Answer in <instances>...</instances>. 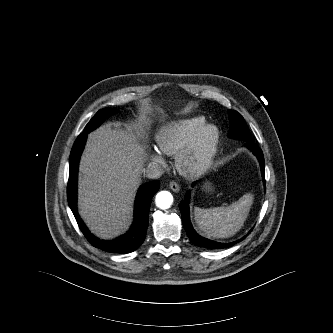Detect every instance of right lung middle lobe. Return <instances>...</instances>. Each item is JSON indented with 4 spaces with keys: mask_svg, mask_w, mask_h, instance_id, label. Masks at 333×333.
I'll return each mask as SVG.
<instances>
[{
    "mask_svg": "<svg viewBox=\"0 0 333 333\" xmlns=\"http://www.w3.org/2000/svg\"><path fill=\"white\" fill-rule=\"evenodd\" d=\"M116 112V109L113 108H104L98 111L95 116L90 120V122L86 125L84 129V133H89L90 131L97 128L105 118H107L109 115L114 114Z\"/></svg>",
    "mask_w": 333,
    "mask_h": 333,
    "instance_id": "dd1d6c3e",
    "label": "right lung middle lobe"
}]
</instances>
